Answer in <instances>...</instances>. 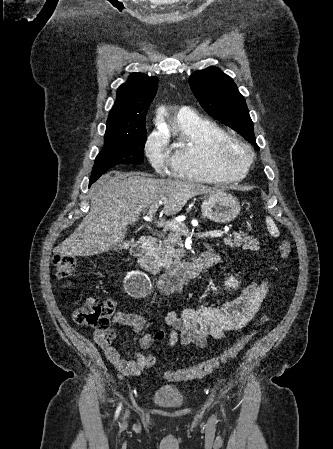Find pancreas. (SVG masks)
Segmentation results:
<instances>
[{
  "label": "pancreas",
  "mask_w": 333,
  "mask_h": 449,
  "mask_svg": "<svg viewBox=\"0 0 333 449\" xmlns=\"http://www.w3.org/2000/svg\"><path fill=\"white\" fill-rule=\"evenodd\" d=\"M184 235L182 231H173L163 240L155 253L159 265L170 270L176 264L180 263L181 258L184 256V250L181 248L183 246L182 236ZM224 242L230 247H242L245 250L259 249L257 239L243 232H234L230 237L224 238ZM176 245L180 246V248L176 249Z\"/></svg>",
  "instance_id": "cf45deb5"
}]
</instances>
